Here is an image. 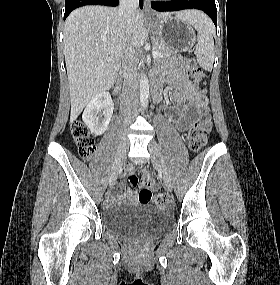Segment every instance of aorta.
<instances>
[{
	"label": "aorta",
	"mask_w": 280,
	"mask_h": 285,
	"mask_svg": "<svg viewBox=\"0 0 280 285\" xmlns=\"http://www.w3.org/2000/svg\"><path fill=\"white\" fill-rule=\"evenodd\" d=\"M149 98V80L146 75L140 79V102L143 109H146Z\"/></svg>",
	"instance_id": "aorta-1"
}]
</instances>
